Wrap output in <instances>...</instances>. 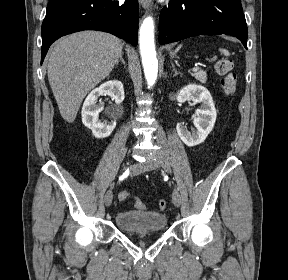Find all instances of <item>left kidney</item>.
<instances>
[{
	"instance_id": "left-kidney-1",
	"label": "left kidney",
	"mask_w": 288,
	"mask_h": 280,
	"mask_svg": "<svg viewBox=\"0 0 288 280\" xmlns=\"http://www.w3.org/2000/svg\"><path fill=\"white\" fill-rule=\"evenodd\" d=\"M176 100L179 103H184L187 100L201 103V108L196 111L197 118L193 121L196 129L189 132L184 123H178L176 129L180 139L189 147L204 142L212 131L217 117L210 92L201 85L190 84L177 93Z\"/></svg>"
}]
</instances>
